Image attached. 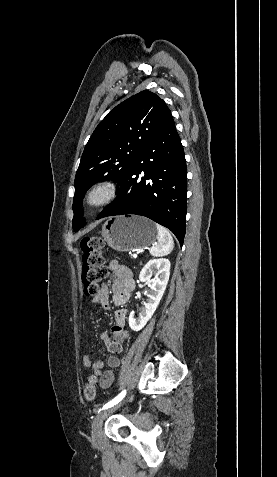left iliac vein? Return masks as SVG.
<instances>
[{
	"label": "left iliac vein",
	"mask_w": 277,
	"mask_h": 477,
	"mask_svg": "<svg viewBox=\"0 0 277 477\" xmlns=\"http://www.w3.org/2000/svg\"><path fill=\"white\" fill-rule=\"evenodd\" d=\"M122 405V403H119L118 405L109 407L102 412H100L95 419L93 420L92 423V440L95 444H100L102 441V425L103 421L105 418L112 413L114 410L119 408Z\"/></svg>",
	"instance_id": "left-iliac-vein-1"
}]
</instances>
